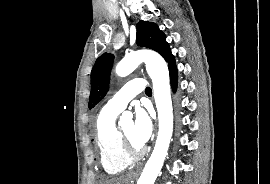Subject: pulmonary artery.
I'll return each instance as SVG.
<instances>
[{"label": "pulmonary artery", "instance_id": "1", "mask_svg": "<svg viewBox=\"0 0 270 184\" xmlns=\"http://www.w3.org/2000/svg\"><path fill=\"white\" fill-rule=\"evenodd\" d=\"M146 88L144 79L137 78L126 83L112 98H110L106 106L118 112L125 109L127 104L139 93Z\"/></svg>", "mask_w": 270, "mask_h": 184}]
</instances>
